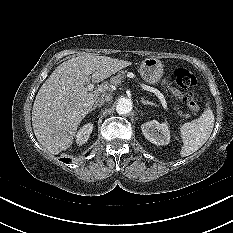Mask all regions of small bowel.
<instances>
[{
  "instance_id": "1",
  "label": "small bowel",
  "mask_w": 233,
  "mask_h": 233,
  "mask_svg": "<svg viewBox=\"0 0 233 233\" xmlns=\"http://www.w3.org/2000/svg\"><path fill=\"white\" fill-rule=\"evenodd\" d=\"M171 92L176 98L183 100V95L180 93V91L176 89H171Z\"/></svg>"
}]
</instances>
